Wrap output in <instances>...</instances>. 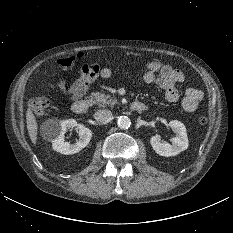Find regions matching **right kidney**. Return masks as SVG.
Segmentation results:
<instances>
[{
  "label": "right kidney",
  "mask_w": 233,
  "mask_h": 233,
  "mask_svg": "<svg viewBox=\"0 0 233 233\" xmlns=\"http://www.w3.org/2000/svg\"><path fill=\"white\" fill-rule=\"evenodd\" d=\"M77 127L79 140L70 144L65 142V133L68 129ZM43 135L45 139L52 142V147L61 154H75L85 148L92 137V132L83 124H78L74 119L58 120L49 119L43 125Z\"/></svg>",
  "instance_id": "1"
}]
</instances>
